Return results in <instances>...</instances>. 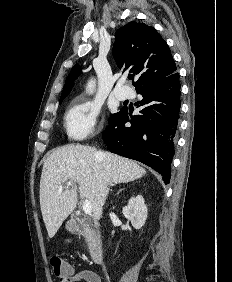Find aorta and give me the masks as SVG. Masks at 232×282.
Instances as JSON below:
<instances>
[{"instance_id":"1","label":"aorta","mask_w":232,"mask_h":282,"mask_svg":"<svg viewBox=\"0 0 232 282\" xmlns=\"http://www.w3.org/2000/svg\"><path fill=\"white\" fill-rule=\"evenodd\" d=\"M95 87H96L95 79H90L87 83V86H86V92L87 93H93V91L95 90Z\"/></svg>"}]
</instances>
